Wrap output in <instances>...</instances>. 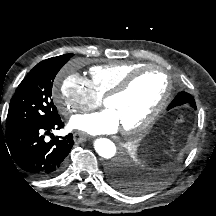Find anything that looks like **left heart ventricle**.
Instances as JSON below:
<instances>
[{"instance_id": "obj_1", "label": "left heart ventricle", "mask_w": 216, "mask_h": 216, "mask_svg": "<svg viewBox=\"0 0 216 216\" xmlns=\"http://www.w3.org/2000/svg\"><path fill=\"white\" fill-rule=\"evenodd\" d=\"M166 88L165 78L159 71H149L139 76L122 95L111 98L106 106L119 119L121 128L141 122L157 105Z\"/></svg>"}]
</instances>
